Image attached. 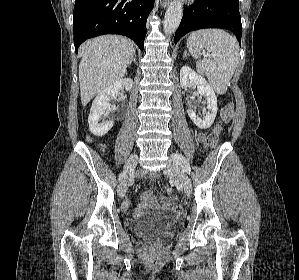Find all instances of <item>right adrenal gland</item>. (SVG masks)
Instances as JSON below:
<instances>
[{
	"instance_id": "right-adrenal-gland-1",
	"label": "right adrenal gland",
	"mask_w": 299,
	"mask_h": 280,
	"mask_svg": "<svg viewBox=\"0 0 299 280\" xmlns=\"http://www.w3.org/2000/svg\"><path fill=\"white\" fill-rule=\"evenodd\" d=\"M133 61H134L135 63L137 62L135 52H134L133 55H132V58H131V60H130V62H129V65H131V63H132Z\"/></svg>"
}]
</instances>
